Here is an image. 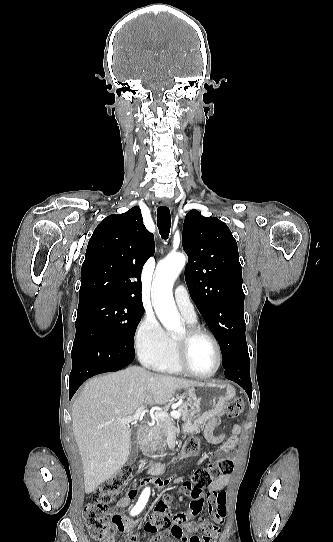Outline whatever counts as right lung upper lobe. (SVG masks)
<instances>
[{"instance_id": "1", "label": "right lung upper lobe", "mask_w": 333, "mask_h": 542, "mask_svg": "<svg viewBox=\"0 0 333 542\" xmlns=\"http://www.w3.org/2000/svg\"><path fill=\"white\" fill-rule=\"evenodd\" d=\"M154 254V236L140 208L106 217L94 230L82 264L79 304L92 298L142 304L141 271Z\"/></svg>"}]
</instances>
